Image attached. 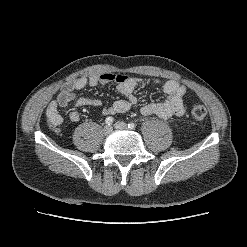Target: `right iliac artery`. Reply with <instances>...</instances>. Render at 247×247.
<instances>
[{
  "label": "right iliac artery",
  "instance_id": "1",
  "mask_svg": "<svg viewBox=\"0 0 247 247\" xmlns=\"http://www.w3.org/2000/svg\"><path fill=\"white\" fill-rule=\"evenodd\" d=\"M113 121H114V118L111 116L107 117L105 120L107 125H111L113 123Z\"/></svg>",
  "mask_w": 247,
  "mask_h": 247
}]
</instances>
